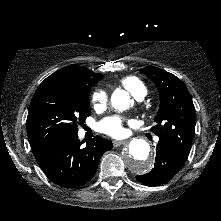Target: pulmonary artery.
<instances>
[{
  "mask_svg": "<svg viewBox=\"0 0 221 221\" xmlns=\"http://www.w3.org/2000/svg\"><path fill=\"white\" fill-rule=\"evenodd\" d=\"M144 98V95L139 96L137 99L138 100H142ZM156 141H158V138L155 139Z\"/></svg>",
  "mask_w": 221,
  "mask_h": 221,
  "instance_id": "e3ab8cb5",
  "label": "pulmonary artery"
}]
</instances>
